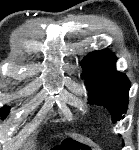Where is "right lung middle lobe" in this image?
Here are the masks:
<instances>
[{"mask_svg":"<svg viewBox=\"0 0 139 150\" xmlns=\"http://www.w3.org/2000/svg\"><path fill=\"white\" fill-rule=\"evenodd\" d=\"M9 107L5 106L1 109V116L2 118H5L7 116V114L9 113Z\"/></svg>","mask_w":139,"mask_h":150,"instance_id":"1","label":"right lung middle lobe"}]
</instances>
